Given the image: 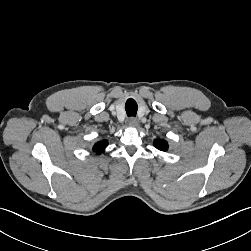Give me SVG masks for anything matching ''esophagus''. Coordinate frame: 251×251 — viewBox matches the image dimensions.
<instances>
[{"instance_id":"obj_1","label":"esophagus","mask_w":251,"mask_h":251,"mask_svg":"<svg viewBox=\"0 0 251 251\" xmlns=\"http://www.w3.org/2000/svg\"><path fill=\"white\" fill-rule=\"evenodd\" d=\"M128 125L133 128L138 127V120L134 117H131L129 119Z\"/></svg>"}]
</instances>
